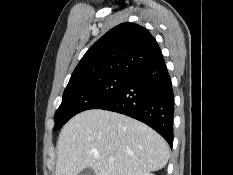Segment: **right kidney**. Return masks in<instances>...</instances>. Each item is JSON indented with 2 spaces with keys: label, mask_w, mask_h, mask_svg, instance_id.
I'll use <instances>...</instances> for the list:
<instances>
[{
  "label": "right kidney",
  "mask_w": 233,
  "mask_h": 175,
  "mask_svg": "<svg viewBox=\"0 0 233 175\" xmlns=\"http://www.w3.org/2000/svg\"><path fill=\"white\" fill-rule=\"evenodd\" d=\"M144 175H154V174H150V173H145Z\"/></svg>",
  "instance_id": "right-kidney-1"
}]
</instances>
